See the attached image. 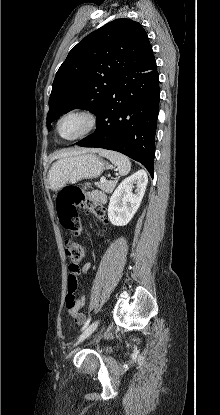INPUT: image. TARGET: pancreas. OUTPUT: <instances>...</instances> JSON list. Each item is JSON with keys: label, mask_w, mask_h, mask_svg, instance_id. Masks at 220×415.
<instances>
[{"label": "pancreas", "mask_w": 220, "mask_h": 415, "mask_svg": "<svg viewBox=\"0 0 220 415\" xmlns=\"http://www.w3.org/2000/svg\"><path fill=\"white\" fill-rule=\"evenodd\" d=\"M118 180H110V181H100V182H96L95 185L101 189L103 192L106 193H112V191L114 190L116 184H117Z\"/></svg>", "instance_id": "1"}]
</instances>
